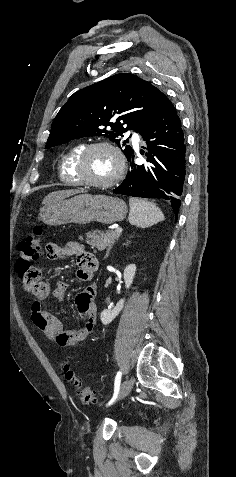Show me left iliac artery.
Listing matches in <instances>:
<instances>
[{
  "label": "left iliac artery",
  "instance_id": "obj_1",
  "mask_svg": "<svg viewBox=\"0 0 236 477\" xmlns=\"http://www.w3.org/2000/svg\"><path fill=\"white\" fill-rule=\"evenodd\" d=\"M121 376H122V372L119 371L115 377V383H114V395L112 397V399L109 401L108 405H110L111 403H113L115 401V399L117 398V395H118V392H119V388H120V382H121Z\"/></svg>",
  "mask_w": 236,
  "mask_h": 477
}]
</instances>
